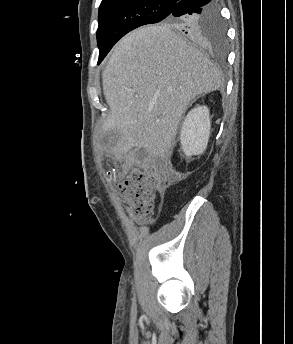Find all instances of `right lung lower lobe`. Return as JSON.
Masks as SVG:
<instances>
[{"instance_id":"right-lung-lower-lobe-1","label":"right lung lower lobe","mask_w":293,"mask_h":344,"mask_svg":"<svg viewBox=\"0 0 293 344\" xmlns=\"http://www.w3.org/2000/svg\"><path fill=\"white\" fill-rule=\"evenodd\" d=\"M216 6V0H179L175 2L172 17H186L202 12H210ZM194 40L200 34V28L196 25H187L182 30Z\"/></svg>"}]
</instances>
